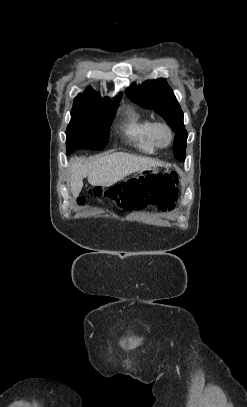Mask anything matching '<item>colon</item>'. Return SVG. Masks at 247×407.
Returning a JSON list of instances; mask_svg holds the SVG:
<instances>
[{
  "mask_svg": "<svg viewBox=\"0 0 247 407\" xmlns=\"http://www.w3.org/2000/svg\"><path fill=\"white\" fill-rule=\"evenodd\" d=\"M177 173L151 174L130 179L103 191L95 187V196H105L123 210H142L149 203H173L178 197ZM80 204L84 199H79Z\"/></svg>",
  "mask_w": 247,
  "mask_h": 407,
  "instance_id": "colon-1",
  "label": "colon"
}]
</instances>
